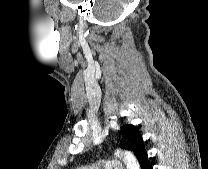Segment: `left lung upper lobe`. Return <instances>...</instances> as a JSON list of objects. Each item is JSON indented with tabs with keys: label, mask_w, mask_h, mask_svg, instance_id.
<instances>
[{
	"label": "left lung upper lobe",
	"mask_w": 208,
	"mask_h": 169,
	"mask_svg": "<svg viewBox=\"0 0 208 169\" xmlns=\"http://www.w3.org/2000/svg\"><path fill=\"white\" fill-rule=\"evenodd\" d=\"M121 133L127 141L121 146L131 150L137 159L140 154L145 151L144 142L140 131L132 124H125L121 127Z\"/></svg>",
	"instance_id": "5c2ea615"
}]
</instances>
